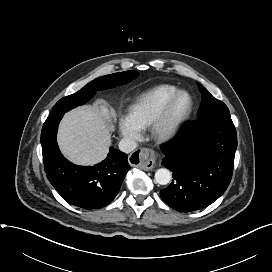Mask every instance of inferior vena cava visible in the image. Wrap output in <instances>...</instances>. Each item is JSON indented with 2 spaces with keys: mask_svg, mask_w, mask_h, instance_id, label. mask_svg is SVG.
I'll list each match as a JSON object with an SVG mask.
<instances>
[{
  "mask_svg": "<svg viewBox=\"0 0 272 272\" xmlns=\"http://www.w3.org/2000/svg\"><path fill=\"white\" fill-rule=\"evenodd\" d=\"M137 147V143L130 139H122L119 142V149L124 153H130L135 150Z\"/></svg>",
  "mask_w": 272,
  "mask_h": 272,
  "instance_id": "inferior-vena-cava-1",
  "label": "inferior vena cava"
}]
</instances>
